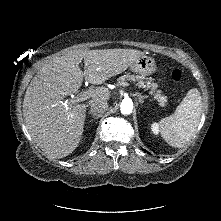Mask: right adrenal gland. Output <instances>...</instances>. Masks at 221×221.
I'll return each mask as SVG.
<instances>
[{"label":"right adrenal gland","mask_w":221,"mask_h":221,"mask_svg":"<svg viewBox=\"0 0 221 221\" xmlns=\"http://www.w3.org/2000/svg\"><path fill=\"white\" fill-rule=\"evenodd\" d=\"M88 114L91 115L94 119H98L101 117V114H95V113H92L91 111H89Z\"/></svg>","instance_id":"right-adrenal-gland-1"}]
</instances>
